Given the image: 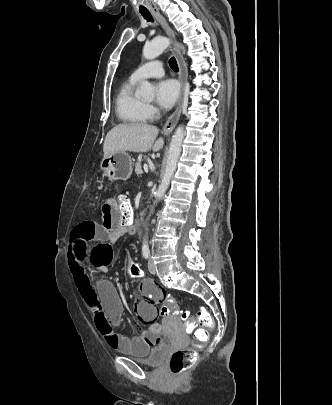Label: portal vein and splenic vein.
Segmentation results:
<instances>
[{"mask_svg": "<svg viewBox=\"0 0 332 405\" xmlns=\"http://www.w3.org/2000/svg\"><path fill=\"white\" fill-rule=\"evenodd\" d=\"M144 169H145L146 172H148V167L147 166H145Z\"/></svg>", "mask_w": 332, "mask_h": 405, "instance_id": "1", "label": "portal vein and splenic vein"}]
</instances>
